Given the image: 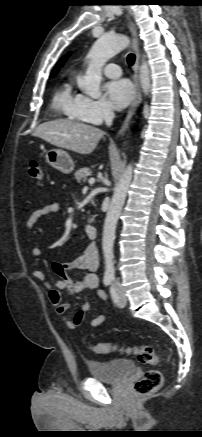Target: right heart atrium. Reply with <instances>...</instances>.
<instances>
[{"label": "right heart atrium", "instance_id": "obj_1", "mask_svg": "<svg viewBox=\"0 0 202 437\" xmlns=\"http://www.w3.org/2000/svg\"><path fill=\"white\" fill-rule=\"evenodd\" d=\"M78 111L82 118L95 124L101 123L113 115V108L106 99H94L85 95L80 96Z\"/></svg>", "mask_w": 202, "mask_h": 437}]
</instances>
